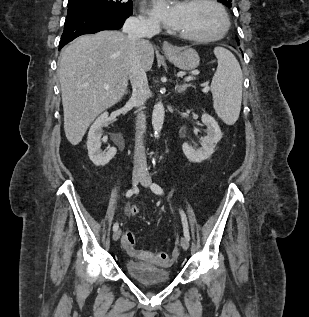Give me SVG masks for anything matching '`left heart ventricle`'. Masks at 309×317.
Returning <instances> with one entry per match:
<instances>
[{
  "label": "left heart ventricle",
  "instance_id": "b2bd125f",
  "mask_svg": "<svg viewBox=\"0 0 309 317\" xmlns=\"http://www.w3.org/2000/svg\"><path fill=\"white\" fill-rule=\"evenodd\" d=\"M181 5V13L176 30L180 33L211 36L219 32L222 18L217 9L208 3H189Z\"/></svg>",
  "mask_w": 309,
  "mask_h": 317
}]
</instances>
